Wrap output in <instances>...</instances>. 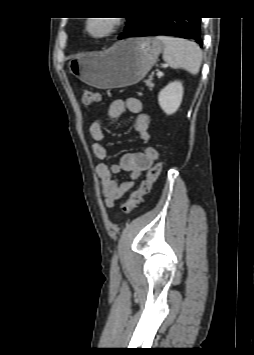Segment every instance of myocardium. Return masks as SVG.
Returning a JSON list of instances; mask_svg holds the SVG:
<instances>
[{"label": "myocardium", "mask_w": 254, "mask_h": 355, "mask_svg": "<svg viewBox=\"0 0 254 355\" xmlns=\"http://www.w3.org/2000/svg\"><path fill=\"white\" fill-rule=\"evenodd\" d=\"M102 22L106 25V29L102 33H94L91 30V25L94 22ZM122 23V19L115 16H92L85 21V32L93 39H104L113 35Z\"/></svg>", "instance_id": "1"}]
</instances>
